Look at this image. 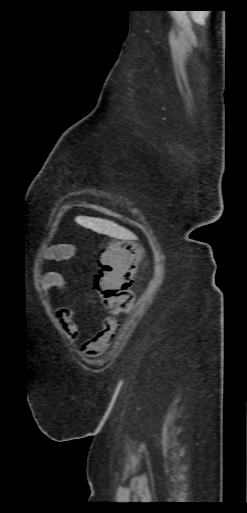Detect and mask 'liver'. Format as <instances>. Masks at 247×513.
<instances>
[{
    "mask_svg": "<svg viewBox=\"0 0 247 513\" xmlns=\"http://www.w3.org/2000/svg\"><path fill=\"white\" fill-rule=\"evenodd\" d=\"M75 221L77 224L91 229L94 232L105 234L114 238L129 240L134 236V234L128 229L107 219L78 215L75 217Z\"/></svg>",
    "mask_w": 247,
    "mask_h": 513,
    "instance_id": "liver-1",
    "label": "liver"
}]
</instances>
